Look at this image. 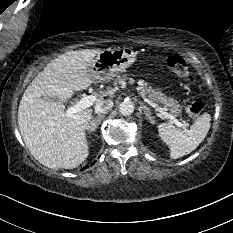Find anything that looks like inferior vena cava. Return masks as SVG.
Listing matches in <instances>:
<instances>
[{
	"mask_svg": "<svg viewBox=\"0 0 233 233\" xmlns=\"http://www.w3.org/2000/svg\"><path fill=\"white\" fill-rule=\"evenodd\" d=\"M113 107L112 100H103L102 102L96 104L95 106V113L102 114L109 112Z\"/></svg>",
	"mask_w": 233,
	"mask_h": 233,
	"instance_id": "1",
	"label": "inferior vena cava"
}]
</instances>
